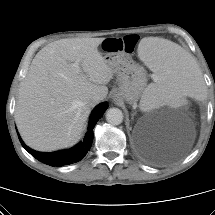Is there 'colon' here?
<instances>
[{
	"mask_svg": "<svg viewBox=\"0 0 215 215\" xmlns=\"http://www.w3.org/2000/svg\"><path fill=\"white\" fill-rule=\"evenodd\" d=\"M138 40L139 37L134 34L115 39L106 38L102 42V47L108 52L123 51L126 53H133Z\"/></svg>",
	"mask_w": 215,
	"mask_h": 215,
	"instance_id": "1",
	"label": "colon"
}]
</instances>
